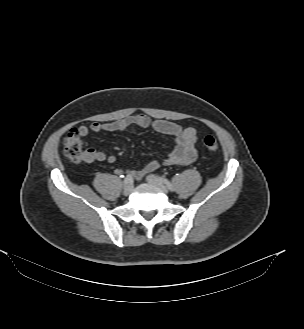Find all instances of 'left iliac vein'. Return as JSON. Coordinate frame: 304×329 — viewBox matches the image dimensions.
<instances>
[{"mask_svg": "<svg viewBox=\"0 0 304 329\" xmlns=\"http://www.w3.org/2000/svg\"><path fill=\"white\" fill-rule=\"evenodd\" d=\"M146 181L150 184L156 185L157 187H159L164 193H168V189L167 187L163 184V182L161 181V179H159L157 176L155 175H148L146 177Z\"/></svg>", "mask_w": 304, "mask_h": 329, "instance_id": "obj_1", "label": "left iliac vein"}]
</instances>
